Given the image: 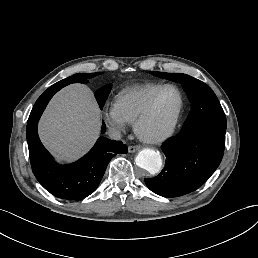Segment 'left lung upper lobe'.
Here are the masks:
<instances>
[{
    "label": "left lung upper lobe",
    "mask_w": 258,
    "mask_h": 258,
    "mask_svg": "<svg viewBox=\"0 0 258 258\" xmlns=\"http://www.w3.org/2000/svg\"><path fill=\"white\" fill-rule=\"evenodd\" d=\"M160 78L180 83L192 103L191 111L181 132L198 125H217L226 128L225 113L212 89L202 81L181 73L150 72Z\"/></svg>",
    "instance_id": "left-lung-upper-lobe-1"
}]
</instances>
